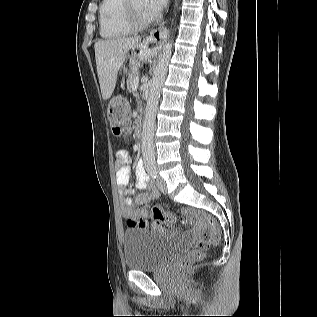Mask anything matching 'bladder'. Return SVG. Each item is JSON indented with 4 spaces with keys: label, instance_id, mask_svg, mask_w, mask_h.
Listing matches in <instances>:
<instances>
[{
    "label": "bladder",
    "instance_id": "1",
    "mask_svg": "<svg viewBox=\"0 0 317 317\" xmlns=\"http://www.w3.org/2000/svg\"><path fill=\"white\" fill-rule=\"evenodd\" d=\"M175 242L141 228L124 232L123 253L125 267L133 271L162 268L176 254Z\"/></svg>",
    "mask_w": 317,
    "mask_h": 317
}]
</instances>
